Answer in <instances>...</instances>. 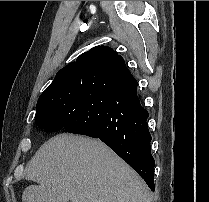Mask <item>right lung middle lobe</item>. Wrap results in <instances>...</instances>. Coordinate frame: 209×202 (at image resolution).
Here are the masks:
<instances>
[{
    "instance_id": "1",
    "label": "right lung middle lobe",
    "mask_w": 209,
    "mask_h": 202,
    "mask_svg": "<svg viewBox=\"0 0 209 202\" xmlns=\"http://www.w3.org/2000/svg\"><path fill=\"white\" fill-rule=\"evenodd\" d=\"M90 79L89 74L55 78L38 99L35 115L37 126L48 132L61 130L66 120L76 112Z\"/></svg>"
}]
</instances>
